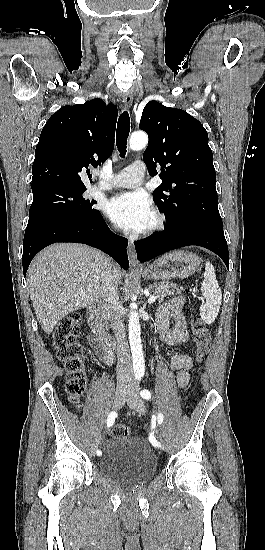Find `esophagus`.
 I'll return each mask as SVG.
<instances>
[{"instance_id": "1", "label": "esophagus", "mask_w": 265, "mask_h": 550, "mask_svg": "<svg viewBox=\"0 0 265 550\" xmlns=\"http://www.w3.org/2000/svg\"><path fill=\"white\" fill-rule=\"evenodd\" d=\"M123 104L126 108H130L132 106L133 96L131 93H126L123 96ZM128 256H129L130 266L133 268H136L138 266V261H137L134 243L131 240L128 243Z\"/></svg>"}]
</instances>
